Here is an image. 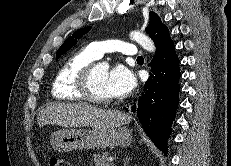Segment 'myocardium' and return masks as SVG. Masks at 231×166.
<instances>
[{
	"label": "myocardium",
	"instance_id": "f54148a6",
	"mask_svg": "<svg viewBox=\"0 0 231 166\" xmlns=\"http://www.w3.org/2000/svg\"><path fill=\"white\" fill-rule=\"evenodd\" d=\"M100 65L98 62H91L86 65L80 72L77 80V87L84 99L95 103H110L111 97L98 95L93 86V75L96 67Z\"/></svg>",
	"mask_w": 231,
	"mask_h": 166
}]
</instances>
